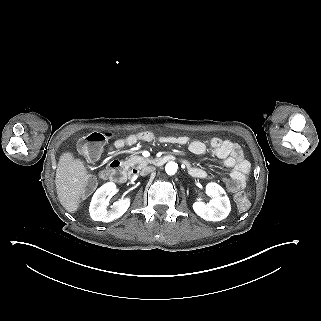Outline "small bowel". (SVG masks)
I'll use <instances>...</instances> for the list:
<instances>
[{"mask_svg": "<svg viewBox=\"0 0 321 321\" xmlns=\"http://www.w3.org/2000/svg\"><path fill=\"white\" fill-rule=\"evenodd\" d=\"M154 139L151 132H141L132 134L125 138L117 139L113 147L122 148L124 146L133 145L139 141L150 142ZM161 143L188 145L189 150L196 155L209 153L214 157L222 160L223 164L231 169L229 178L225 179L229 185L231 181L239 184V189L245 187L247 176L250 172V162L245 159L240 146L228 139L213 137L206 143L198 140L190 141L187 136H163L159 138ZM189 172L197 178H206L207 172L199 167L188 164Z\"/></svg>", "mask_w": 321, "mask_h": 321, "instance_id": "1", "label": "small bowel"}]
</instances>
